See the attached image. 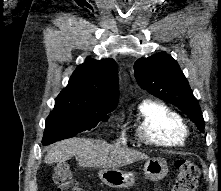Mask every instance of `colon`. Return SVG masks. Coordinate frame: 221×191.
<instances>
[{
	"instance_id": "obj_1",
	"label": "colon",
	"mask_w": 221,
	"mask_h": 191,
	"mask_svg": "<svg viewBox=\"0 0 221 191\" xmlns=\"http://www.w3.org/2000/svg\"><path fill=\"white\" fill-rule=\"evenodd\" d=\"M177 176L171 191H194L199 177L198 167L191 161L177 159L175 161ZM53 181L57 184V191H85L73 178L68 164H58L53 173Z\"/></svg>"
}]
</instances>
